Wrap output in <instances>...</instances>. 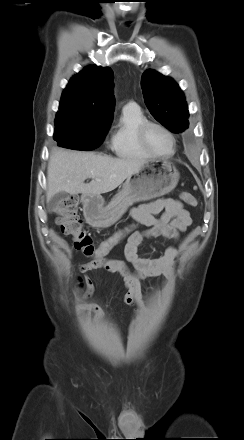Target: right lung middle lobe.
Listing matches in <instances>:
<instances>
[{"label":"right lung middle lobe","instance_id":"right-lung-middle-lobe-1","mask_svg":"<svg viewBox=\"0 0 244 440\" xmlns=\"http://www.w3.org/2000/svg\"><path fill=\"white\" fill-rule=\"evenodd\" d=\"M109 127L110 123L68 119L55 122L54 139L61 147L93 150L102 144Z\"/></svg>","mask_w":244,"mask_h":440}]
</instances>
